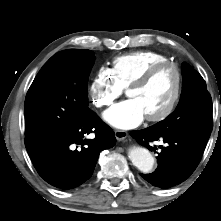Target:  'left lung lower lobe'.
<instances>
[{
  "instance_id": "obj_1",
  "label": "left lung lower lobe",
  "mask_w": 221,
  "mask_h": 221,
  "mask_svg": "<svg viewBox=\"0 0 221 221\" xmlns=\"http://www.w3.org/2000/svg\"><path fill=\"white\" fill-rule=\"evenodd\" d=\"M131 136L149 150L156 151L149 142L161 140L165 146H160L157 169L150 174H140L155 187L166 189L177 185L193 173L200 162L208 138L194 134H166L157 131L153 126L132 131Z\"/></svg>"
}]
</instances>
